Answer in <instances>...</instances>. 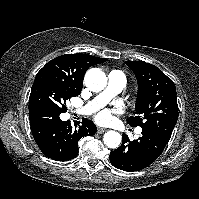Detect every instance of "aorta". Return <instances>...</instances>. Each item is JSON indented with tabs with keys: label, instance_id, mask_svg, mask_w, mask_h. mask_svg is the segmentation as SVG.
Returning <instances> with one entry per match:
<instances>
[{
	"label": "aorta",
	"instance_id": "1",
	"mask_svg": "<svg viewBox=\"0 0 199 199\" xmlns=\"http://www.w3.org/2000/svg\"><path fill=\"white\" fill-rule=\"evenodd\" d=\"M85 84L92 91H101L107 85V77L99 68H92L85 75ZM103 141L109 148H117L121 144L122 137L117 131H108L103 136Z\"/></svg>",
	"mask_w": 199,
	"mask_h": 199
}]
</instances>
